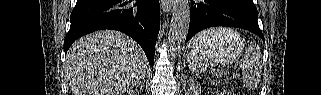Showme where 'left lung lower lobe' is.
Masks as SVG:
<instances>
[{
    "instance_id": "obj_1",
    "label": "left lung lower lobe",
    "mask_w": 321,
    "mask_h": 95,
    "mask_svg": "<svg viewBox=\"0 0 321 95\" xmlns=\"http://www.w3.org/2000/svg\"><path fill=\"white\" fill-rule=\"evenodd\" d=\"M253 0H191V18L186 42L199 31L215 26L238 27L264 40Z\"/></svg>"
}]
</instances>
